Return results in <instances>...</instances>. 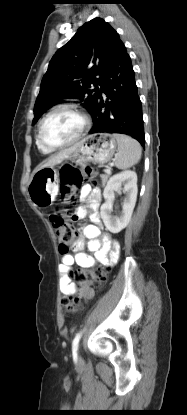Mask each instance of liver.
I'll list each match as a JSON object with an SVG mask.
<instances>
[{
  "label": "liver",
  "instance_id": "liver-1",
  "mask_svg": "<svg viewBox=\"0 0 187 415\" xmlns=\"http://www.w3.org/2000/svg\"><path fill=\"white\" fill-rule=\"evenodd\" d=\"M79 143L75 144L72 147H69L67 149H64L60 151L59 153L51 156L44 164L39 165L34 172L38 171L39 169L45 168V167H51L56 164L61 163L64 159L68 158L71 153H73L78 148Z\"/></svg>",
  "mask_w": 187,
  "mask_h": 415
}]
</instances>
